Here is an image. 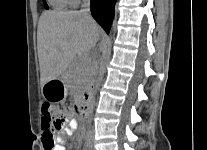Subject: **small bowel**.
Returning a JSON list of instances; mask_svg holds the SVG:
<instances>
[{
	"label": "small bowel",
	"instance_id": "1",
	"mask_svg": "<svg viewBox=\"0 0 207 150\" xmlns=\"http://www.w3.org/2000/svg\"><path fill=\"white\" fill-rule=\"evenodd\" d=\"M78 123L75 119H70L64 128L63 133H58L53 135L54 145L50 150H66L65 144L67 137L71 136L73 132L77 129ZM42 143L44 146V138L42 137Z\"/></svg>",
	"mask_w": 207,
	"mask_h": 150
}]
</instances>
